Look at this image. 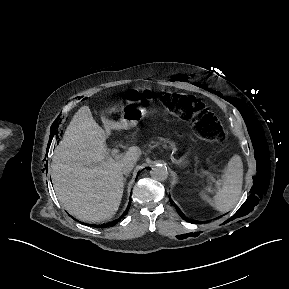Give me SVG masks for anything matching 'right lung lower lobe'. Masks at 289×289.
Masks as SVG:
<instances>
[{"label": "right lung lower lobe", "mask_w": 289, "mask_h": 289, "mask_svg": "<svg viewBox=\"0 0 289 289\" xmlns=\"http://www.w3.org/2000/svg\"><path fill=\"white\" fill-rule=\"evenodd\" d=\"M130 202H131V200H130ZM130 202H129V206H128L127 210L124 212L122 217L127 214L128 210H129V207H130ZM122 217H120L119 219L114 220V221H112L110 223L103 224V225H94L93 227H103V228H105V227H108V226H114L116 223H118L121 220Z\"/></svg>", "instance_id": "98d812e1"}]
</instances>
